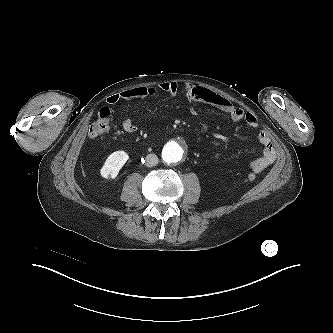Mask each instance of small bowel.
<instances>
[{"label":"small bowel","mask_w":333,"mask_h":333,"mask_svg":"<svg viewBox=\"0 0 333 333\" xmlns=\"http://www.w3.org/2000/svg\"><path fill=\"white\" fill-rule=\"evenodd\" d=\"M180 90L185 94L188 101L192 104L206 103L212 105L222 112L228 114L230 120L234 123L244 121L251 128L258 127V119L253 113L245 112L243 109L234 106L226 98L203 87L192 86L188 84L180 86L176 82H163L153 87L142 86L127 89L108 97L107 103L115 104L119 101H130L133 99L157 97L162 94L174 96ZM190 112L192 114H196V109L192 107ZM122 127L128 133H134L138 130L137 125L129 119L123 120ZM258 139L262 145L263 153L260 158H257L249 164L250 169L254 173H259L265 170L273 163L276 157L275 148L269 134L262 130L258 135Z\"/></svg>","instance_id":"1"}]
</instances>
